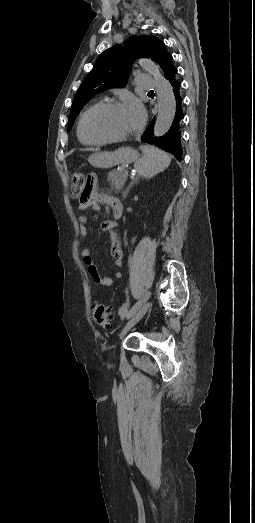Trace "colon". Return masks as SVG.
<instances>
[{"instance_id": "5ec220e1", "label": "colon", "mask_w": 255, "mask_h": 523, "mask_svg": "<svg viewBox=\"0 0 255 523\" xmlns=\"http://www.w3.org/2000/svg\"><path fill=\"white\" fill-rule=\"evenodd\" d=\"M71 195L74 198L86 199L90 195V182L82 172L74 171L70 177ZM94 321L101 327L109 328L112 326V313L109 306L96 303L93 305Z\"/></svg>"}]
</instances>
